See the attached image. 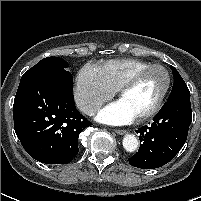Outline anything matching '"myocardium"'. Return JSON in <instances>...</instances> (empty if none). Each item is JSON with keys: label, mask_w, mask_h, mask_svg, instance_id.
Instances as JSON below:
<instances>
[{"label": "myocardium", "mask_w": 201, "mask_h": 201, "mask_svg": "<svg viewBox=\"0 0 201 201\" xmlns=\"http://www.w3.org/2000/svg\"><path fill=\"white\" fill-rule=\"evenodd\" d=\"M154 69H160L164 72L165 74V85L164 88L159 95L156 103L145 113L137 116L138 121H145L150 118H153L158 112L161 110L164 101L168 95V92L171 87V75L169 70L161 65V64H151L148 67H145L143 69H140L139 71L135 72L133 75H131L129 78H127L119 87L117 90L118 97L121 99L122 95L130 89L132 86H134L141 78H143L146 74H148L150 71Z\"/></svg>", "instance_id": "f54148a6"}]
</instances>
